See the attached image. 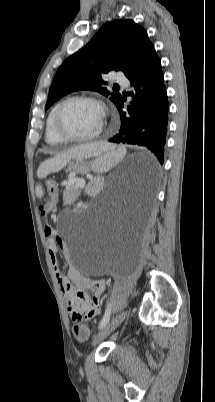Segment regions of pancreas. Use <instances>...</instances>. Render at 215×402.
Segmentation results:
<instances>
[{
  "label": "pancreas",
  "mask_w": 215,
  "mask_h": 402,
  "mask_svg": "<svg viewBox=\"0 0 215 402\" xmlns=\"http://www.w3.org/2000/svg\"><path fill=\"white\" fill-rule=\"evenodd\" d=\"M73 192H76L77 194H79L80 190H79V186L77 184L68 185L65 193L70 194Z\"/></svg>",
  "instance_id": "1"
}]
</instances>
